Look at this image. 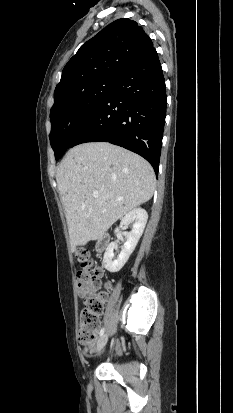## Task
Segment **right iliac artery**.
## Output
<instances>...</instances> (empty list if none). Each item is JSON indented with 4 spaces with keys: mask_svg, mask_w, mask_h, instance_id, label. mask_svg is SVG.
Returning <instances> with one entry per match:
<instances>
[{
    "mask_svg": "<svg viewBox=\"0 0 233 413\" xmlns=\"http://www.w3.org/2000/svg\"><path fill=\"white\" fill-rule=\"evenodd\" d=\"M104 334V328H102L101 330H100V336H102Z\"/></svg>",
    "mask_w": 233,
    "mask_h": 413,
    "instance_id": "82829eb1",
    "label": "right iliac artery"
}]
</instances>
